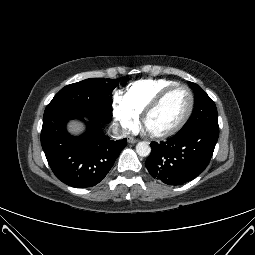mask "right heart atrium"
<instances>
[{"instance_id":"right-heart-atrium-1","label":"right heart atrium","mask_w":255,"mask_h":255,"mask_svg":"<svg viewBox=\"0 0 255 255\" xmlns=\"http://www.w3.org/2000/svg\"><path fill=\"white\" fill-rule=\"evenodd\" d=\"M112 113L115 122L124 132H130L138 126L139 115L128 106L121 97H116L112 103Z\"/></svg>"}]
</instances>
